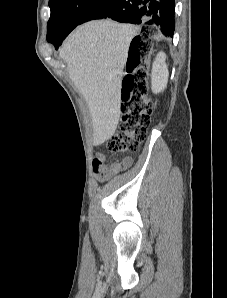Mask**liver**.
<instances>
[{"instance_id": "obj_1", "label": "liver", "mask_w": 227, "mask_h": 298, "mask_svg": "<svg viewBox=\"0 0 227 298\" xmlns=\"http://www.w3.org/2000/svg\"><path fill=\"white\" fill-rule=\"evenodd\" d=\"M137 30L112 20L90 21L60 48L59 56L88 105L95 146L109 140L117 128L123 69Z\"/></svg>"}]
</instances>
